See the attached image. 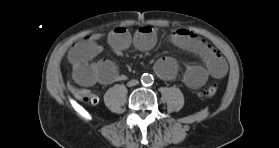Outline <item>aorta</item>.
Returning <instances> with one entry per match:
<instances>
[{
	"mask_svg": "<svg viewBox=\"0 0 279 148\" xmlns=\"http://www.w3.org/2000/svg\"><path fill=\"white\" fill-rule=\"evenodd\" d=\"M141 82L145 85H150L153 82V77L149 74H144L141 78Z\"/></svg>",
	"mask_w": 279,
	"mask_h": 148,
	"instance_id": "1",
	"label": "aorta"
}]
</instances>
